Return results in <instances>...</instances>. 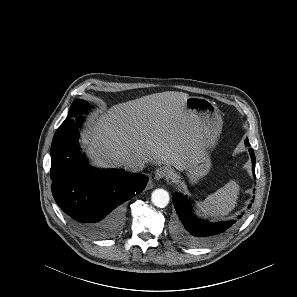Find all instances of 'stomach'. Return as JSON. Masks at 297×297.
Instances as JSON below:
<instances>
[{
  "mask_svg": "<svg viewBox=\"0 0 297 297\" xmlns=\"http://www.w3.org/2000/svg\"><path fill=\"white\" fill-rule=\"evenodd\" d=\"M185 110L198 118L203 129V142L183 169L189 182L195 184L211 169L210 153L221 134L222 117L215 103L204 97H188L185 102Z\"/></svg>",
  "mask_w": 297,
  "mask_h": 297,
  "instance_id": "obj_1",
  "label": "stomach"
}]
</instances>
